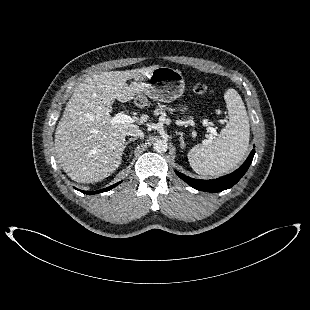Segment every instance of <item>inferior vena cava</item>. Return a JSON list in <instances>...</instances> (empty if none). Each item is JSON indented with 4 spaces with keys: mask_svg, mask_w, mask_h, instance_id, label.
I'll return each mask as SVG.
<instances>
[{
    "mask_svg": "<svg viewBox=\"0 0 310 310\" xmlns=\"http://www.w3.org/2000/svg\"><path fill=\"white\" fill-rule=\"evenodd\" d=\"M127 135L144 138V133L139 128H134L132 130H129L127 132Z\"/></svg>",
    "mask_w": 310,
    "mask_h": 310,
    "instance_id": "inferior-vena-cava-1",
    "label": "inferior vena cava"
}]
</instances>
